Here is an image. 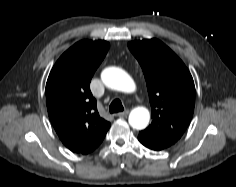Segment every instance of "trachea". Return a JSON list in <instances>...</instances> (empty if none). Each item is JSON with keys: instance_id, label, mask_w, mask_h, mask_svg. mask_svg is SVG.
Returning <instances> with one entry per match:
<instances>
[{"instance_id": "1", "label": "trachea", "mask_w": 236, "mask_h": 187, "mask_svg": "<svg viewBox=\"0 0 236 187\" xmlns=\"http://www.w3.org/2000/svg\"><path fill=\"white\" fill-rule=\"evenodd\" d=\"M124 110L122 102L119 99H115L109 106L110 113H117Z\"/></svg>"}]
</instances>
